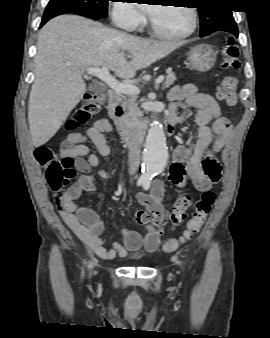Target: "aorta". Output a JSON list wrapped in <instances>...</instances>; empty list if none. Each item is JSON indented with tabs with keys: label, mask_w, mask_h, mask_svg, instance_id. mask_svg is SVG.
Masks as SVG:
<instances>
[{
	"label": "aorta",
	"mask_w": 270,
	"mask_h": 338,
	"mask_svg": "<svg viewBox=\"0 0 270 338\" xmlns=\"http://www.w3.org/2000/svg\"><path fill=\"white\" fill-rule=\"evenodd\" d=\"M167 161L168 153L163 126L155 120L146 138L142 178L150 179L154 174L162 172L167 166Z\"/></svg>",
	"instance_id": "762f6f07"
}]
</instances>
